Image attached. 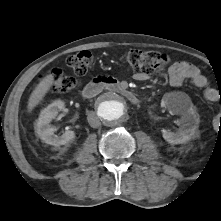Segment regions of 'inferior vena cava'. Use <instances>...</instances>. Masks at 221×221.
<instances>
[{"mask_svg":"<svg viewBox=\"0 0 221 221\" xmlns=\"http://www.w3.org/2000/svg\"><path fill=\"white\" fill-rule=\"evenodd\" d=\"M87 120L89 125L93 128H97L101 125L99 117L94 112L88 114Z\"/></svg>","mask_w":221,"mask_h":221,"instance_id":"602c4592","label":"inferior vena cava"}]
</instances>
